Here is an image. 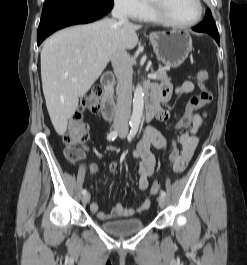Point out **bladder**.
Instances as JSON below:
<instances>
[{
  "mask_svg": "<svg viewBox=\"0 0 247 265\" xmlns=\"http://www.w3.org/2000/svg\"><path fill=\"white\" fill-rule=\"evenodd\" d=\"M100 227L114 237L123 238L142 230L144 222L141 219H121L103 222Z\"/></svg>",
  "mask_w": 247,
  "mask_h": 265,
  "instance_id": "bladder-1",
  "label": "bladder"
}]
</instances>
